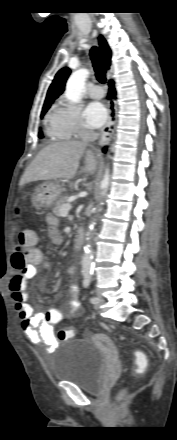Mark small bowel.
<instances>
[{
  "instance_id": "obj_1",
  "label": "small bowel",
  "mask_w": 177,
  "mask_h": 440,
  "mask_svg": "<svg viewBox=\"0 0 177 440\" xmlns=\"http://www.w3.org/2000/svg\"><path fill=\"white\" fill-rule=\"evenodd\" d=\"M48 222V237L54 245H61L63 243V236L58 231V221L52 215L47 217ZM38 267L44 270L49 268V265L44 262L41 252L37 251V257L30 265L22 270H17L9 279L8 289L11 292L12 299L15 304V309L18 317L21 320V328L26 338L37 346H44L46 351H52L58 344L54 332V326L60 323L65 315L57 308H46L43 311L34 312L33 307L28 303V296L26 293L27 280L35 277ZM76 272L75 267L71 266L68 269L70 276ZM68 289L72 294L78 292L77 285L70 281ZM69 317L76 316L82 312V306L77 299L70 301Z\"/></svg>"
}]
</instances>
